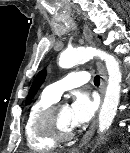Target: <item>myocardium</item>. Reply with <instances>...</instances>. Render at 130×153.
<instances>
[{"label": "myocardium", "instance_id": "1", "mask_svg": "<svg viewBox=\"0 0 130 153\" xmlns=\"http://www.w3.org/2000/svg\"><path fill=\"white\" fill-rule=\"evenodd\" d=\"M63 106L61 103H54L47 107L39 115L37 127L47 136L56 141H67L74 136V128L64 130L58 122V111Z\"/></svg>", "mask_w": 130, "mask_h": 153}]
</instances>
